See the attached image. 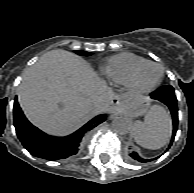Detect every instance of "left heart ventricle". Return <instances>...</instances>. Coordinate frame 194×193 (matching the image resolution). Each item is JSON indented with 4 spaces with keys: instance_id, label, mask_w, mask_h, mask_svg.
Returning a JSON list of instances; mask_svg holds the SVG:
<instances>
[{
    "instance_id": "left-heart-ventricle-1",
    "label": "left heart ventricle",
    "mask_w": 194,
    "mask_h": 193,
    "mask_svg": "<svg viewBox=\"0 0 194 193\" xmlns=\"http://www.w3.org/2000/svg\"><path fill=\"white\" fill-rule=\"evenodd\" d=\"M160 76V70L155 66H146L141 74L140 81L143 85L149 86L154 84Z\"/></svg>"
}]
</instances>
